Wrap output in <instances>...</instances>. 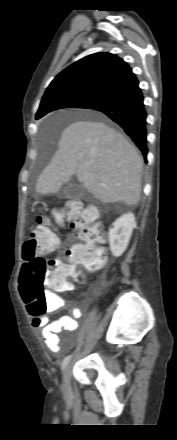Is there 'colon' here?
Segmentation results:
<instances>
[{
    "label": "colon",
    "instance_id": "colon-1",
    "mask_svg": "<svg viewBox=\"0 0 177 440\" xmlns=\"http://www.w3.org/2000/svg\"><path fill=\"white\" fill-rule=\"evenodd\" d=\"M54 216L58 223L67 224L74 232V244L65 252V259L55 257L46 259L43 253L58 246V237L45 216L37 218L36 226L27 235L22 246V258L26 262L20 277V293L33 317L44 314L45 286L65 290L69 279L83 281L79 267L100 269L105 260L102 242L105 234L97 223V211L93 207H83L79 201H69L63 209L56 210Z\"/></svg>",
    "mask_w": 177,
    "mask_h": 440
}]
</instances>
